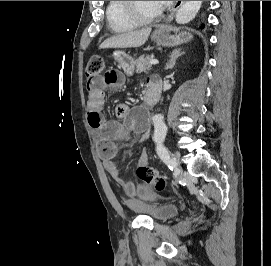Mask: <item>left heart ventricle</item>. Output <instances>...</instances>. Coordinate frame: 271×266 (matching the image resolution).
Masks as SVG:
<instances>
[{
	"label": "left heart ventricle",
	"mask_w": 271,
	"mask_h": 266,
	"mask_svg": "<svg viewBox=\"0 0 271 266\" xmlns=\"http://www.w3.org/2000/svg\"><path fill=\"white\" fill-rule=\"evenodd\" d=\"M135 8L145 17L153 16L161 10L155 1H135Z\"/></svg>",
	"instance_id": "left-heart-ventricle-1"
}]
</instances>
